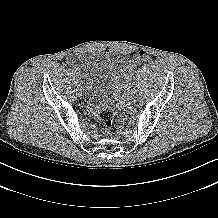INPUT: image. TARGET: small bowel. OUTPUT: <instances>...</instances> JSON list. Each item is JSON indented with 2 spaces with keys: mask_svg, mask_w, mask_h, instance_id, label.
<instances>
[{
  "mask_svg": "<svg viewBox=\"0 0 218 218\" xmlns=\"http://www.w3.org/2000/svg\"><path fill=\"white\" fill-rule=\"evenodd\" d=\"M68 61H69L70 63H73V62L75 61V59H74L73 56H69Z\"/></svg>",
  "mask_w": 218,
  "mask_h": 218,
  "instance_id": "1",
  "label": "small bowel"
}]
</instances>
